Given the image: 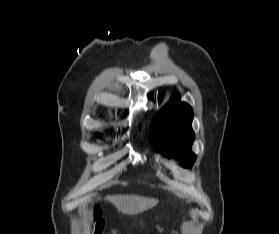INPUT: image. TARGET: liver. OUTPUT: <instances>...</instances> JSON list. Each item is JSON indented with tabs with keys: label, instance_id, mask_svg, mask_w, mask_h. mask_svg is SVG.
Here are the masks:
<instances>
[{
	"label": "liver",
	"instance_id": "obj_1",
	"mask_svg": "<svg viewBox=\"0 0 279 234\" xmlns=\"http://www.w3.org/2000/svg\"><path fill=\"white\" fill-rule=\"evenodd\" d=\"M109 200L114 204L118 211L128 215L142 213L158 203V199L138 195H114L110 196Z\"/></svg>",
	"mask_w": 279,
	"mask_h": 234
}]
</instances>
